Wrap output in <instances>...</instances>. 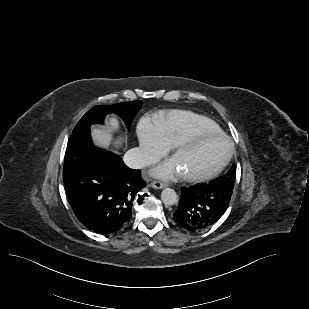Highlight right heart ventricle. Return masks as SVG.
<instances>
[{"mask_svg": "<svg viewBox=\"0 0 309 309\" xmlns=\"http://www.w3.org/2000/svg\"><path fill=\"white\" fill-rule=\"evenodd\" d=\"M170 145H175L194 131L221 132V128L210 118L187 110L171 111L156 123Z\"/></svg>", "mask_w": 309, "mask_h": 309, "instance_id": "1", "label": "right heart ventricle"}]
</instances>
